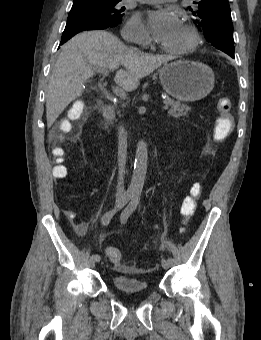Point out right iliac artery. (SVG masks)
Listing matches in <instances>:
<instances>
[{"label": "right iliac artery", "mask_w": 261, "mask_h": 340, "mask_svg": "<svg viewBox=\"0 0 261 340\" xmlns=\"http://www.w3.org/2000/svg\"><path fill=\"white\" fill-rule=\"evenodd\" d=\"M132 198V194L131 193H126L123 198L121 199V201L119 202V204L117 206H115L113 209L107 211L101 218V223L103 226H107L111 219L113 218V216L121 209L123 208L128 201ZM91 258L95 261V262H99L100 261V256L98 254H93L91 256Z\"/></svg>", "instance_id": "82829eb1"}]
</instances>
